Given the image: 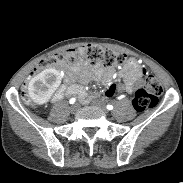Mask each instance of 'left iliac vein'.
Wrapping results in <instances>:
<instances>
[{
  "label": "left iliac vein",
  "mask_w": 183,
  "mask_h": 183,
  "mask_svg": "<svg viewBox=\"0 0 183 183\" xmlns=\"http://www.w3.org/2000/svg\"><path fill=\"white\" fill-rule=\"evenodd\" d=\"M96 107H98V108H100L103 112H107V110H106V108H105V106H104V104L102 103V102H100V101H95L94 103H93Z\"/></svg>",
  "instance_id": "4c4485c4"
}]
</instances>
